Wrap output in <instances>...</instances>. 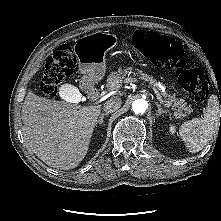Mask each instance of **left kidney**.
Masks as SVG:
<instances>
[{"instance_id": "5707ae66", "label": "left kidney", "mask_w": 221, "mask_h": 221, "mask_svg": "<svg viewBox=\"0 0 221 221\" xmlns=\"http://www.w3.org/2000/svg\"><path fill=\"white\" fill-rule=\"evenodd\" d=\"M169 131H170V133H171L172 135H174V133L176 132V126L170 125Z\"/></svg>"}]
</instances>
